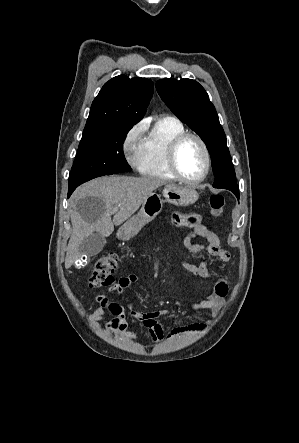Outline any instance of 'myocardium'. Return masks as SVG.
I'll use <instances>...</instances> for the list:
<instances>
[{"instance_id": "myocardium-1", "label": "myocardium", "mask_w": 299, "mask_h": 443, "mask_svg": "<svg viewBox=\"0 0 299 443\" xmlns=\"http://www.w3.org/2000/svg\"><path fill=\"white\" fill-rule=\"evenodd\" d=\"M188 139H195L200 144V146L203 150L204 159H205V166H204L203 173L201 174V176H199L197 178H193V179L186 177L181 172L179 165H178V158H177L179 148ZM167 163H168V167H169L170 171L177 179H179L180 181L187 183V184H198V183L203 182L207 178V176L210 172L211 156H210L208 146L201 136H199L198 134H195V133H191V132H184V133L178 135L176 138H174L173 141L170 143V145L168 147V151H167Z\"/></svg>"}]
</instances>
